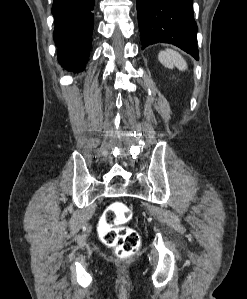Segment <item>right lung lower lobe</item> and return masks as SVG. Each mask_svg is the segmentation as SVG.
<instances>
[{
	"label": "right lung lower lobe",
	"mask_w": 247,
	"mask_h": 299,
	"mask_svg": "<svg viewBox=\"0 0 247 299\" xmlns=\"http://www.w3.org/2000/svg\"><path fill=\"white\" fill-rule=\"evenodd\" d=\"M95 0H54V41L59 64L68 71H83L89 59Z\"/></svg>",
	"instance_id": "right-lung-lower-lobe-1"
}]
</instances>
